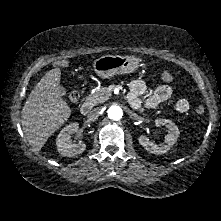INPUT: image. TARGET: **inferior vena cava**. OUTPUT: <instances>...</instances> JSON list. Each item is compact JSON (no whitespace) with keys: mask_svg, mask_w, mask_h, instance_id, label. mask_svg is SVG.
<instances>
[{"mask_svg":"<svg viewBox=\"0 0 221 221\" xmlns=\"http://www.w3.org/2000/svg\"><path fill=\"white\" fill-rule=\"evenodd\" d=\"M99 114H100V108L92 109L87 116L88 121L93 122V121L97 120L99 117Z\"/></svg>","mask_w":221,"mask_h":221,"instance_id":"inferior-vena-cava-1","label":"inferior vena cava"}]
</instances>
